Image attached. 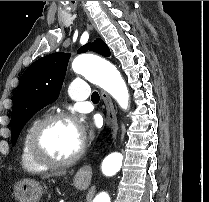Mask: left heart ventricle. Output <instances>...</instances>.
<instances>
[{
	"instance_id": "1",
	"label": "left heart ventricle",
	"mask_w": 209,
	"mask_h": 202,
	"mask_svg": "<svg viewBox=\"0 0 209 202\" xmlns=\"http://www.w3.org/2000/svg\"><path fill=\"white\" fill-rule=\"evenodd\" d=\"M81 141L77 124L58 121L43 130L38 140V146L41 153L47 158L60 161L75 154Z\"/></svg>"
}]
</instances>
